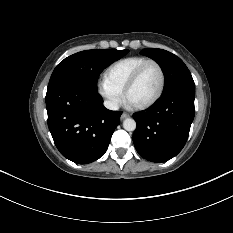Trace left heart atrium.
Wrapping results in <instances>:
<instances>
[{
	"mask_svg": "<svg viewBox=\"0 0 233 233\" xmlns=\"http://www.w3.org/2000/svg\"><path fill=\"white\" fill-rule=\"evenodd\" d=\"M128 105L133 106L129 101H127Z\"/></svg>",
	"mask_w": 233,
	"mask_h": 233,
	"instance_id": "obj_1",
	"label": "left heart atrium"
}]
</instances>
